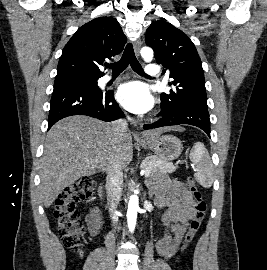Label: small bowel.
<instances>
[{
	"label": "small bowel",
	"mask_w": 267,
	"mask_h": 270,
	"mask_svg": "<svg viewBox=\"0 0 267 270\" xmlns=\"http://www.w3.org/2000/svg\"><path fill=\"white\" fill-rule=\"evenodd\" d=\"M154 203L165 211L161 216L162 237L156 244L157 253L171 258L180 248L190 220L194 216V199L185 184L166 177H153L148 182ZM91 235L96 236L102 228L101 217L96 213L86 216Z\"/></svg>",
	"instance_id": "c3829d8e"
}]
</instances>
